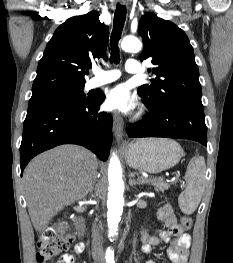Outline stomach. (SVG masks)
<instances>
[{
	"label": "stomach",
	"instance_id": "0dacf381",
	"mask_svg": "<svg viewBox=\"0 0 233 263\" xmlns=\"http://www.w3.org/2000/svg\"><path fill=\"white\" fill-rule=\"evenodd\" d=\"M182 155L181 146L165 138L138 139L125 149L128 165L149 173H158L173 167Z\"/></svg>",
	"mask_w": 233,
	"mask_h": 263
}]
</instances>
